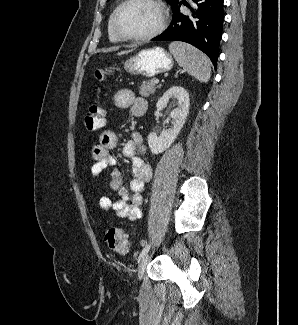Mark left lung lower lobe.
<instances>
[{"label": "left lung lower lobe", "instance_id": "obj_1", "mask_svg": "<svg viewBox=\"0 0 298 325\" xmlns=\"http://www.w3.org/2000/svg\"><path fill=\"white\" fill-rule=\"evenodd\" d=\"M185 1L171 4L173 19L170 26L153 41H184L197 47L209 56L216 67L219 43L224 21V0H193L186 4L190 13L183 14L179 7Z\"/></svg>", "mask_w": 298, "mask_h": 325}]
</instances>
